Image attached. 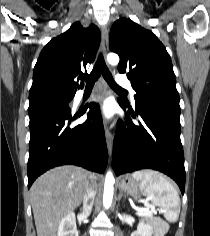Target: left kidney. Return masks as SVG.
<instances>
[{"label":"left kidney","instance_id":"left-kidney-1","mask_svg":"<svg viewBox=\"0 0 210 236\" xmlns=\"http://www.w3.org/2000/svg\"><path fill=\"white\" fill-rule=\"evenodd\" d=\"M153 226L149 222L142 220L137 227V231L133 232L131 236H152Z\"/></svg>","mask_w":210,"mask_h":236}]
</instances>
